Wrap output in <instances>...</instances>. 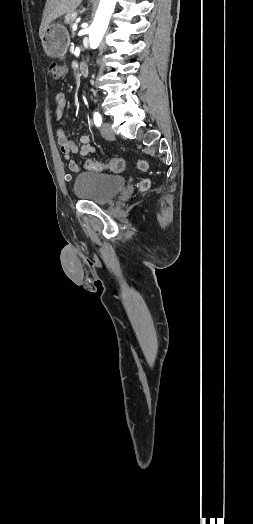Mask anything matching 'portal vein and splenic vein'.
<instances>
[{"label": "portal vein and splenic vein", "mask_w": 253, "mask_h": 524, "mask_svg": "<svg viewBox=\"0 0 253 524\" xmlns=\"http://www.w3.org/2000/svg\"><path fill=\"white\" fill-rule=\"evenodd\" d=\"M72 29H73V30H76V29H77V23H74V24L72 25Z\"/></svg>", "instance_id": "1"}]
</instances>
